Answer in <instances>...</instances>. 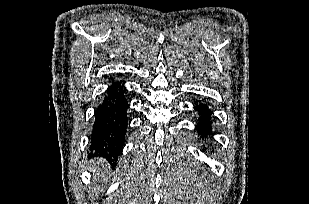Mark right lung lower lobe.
<instances>
[{
    "instance_id": "98d812e1",
    "label": "right lung lower lobe",
    "mask_w": 309,
    "mask_h": 204,
    "mask_svg": "<svg viewBox=\"0 0 309 204\" xmlns=\"http://www.w3.org/2000/svg\"><path fill=\"white\" fill-rule=\"evenodd\" d=\"M125 88L113 82L96 109L91 134V156H102L116 164L126 136L129 103Z\"/></svg>"
}]
</instances>
